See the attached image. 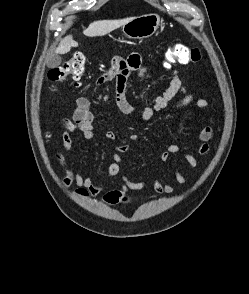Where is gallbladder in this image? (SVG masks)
<instances>
[{"instance_id":"bac80fb5","label":"gallbladder","mask_w":249,"mask_h":294,"mask_svg":"<svg viewBox=\"0 0 249 294\" xmlns=\"http://www.w3.org/2000/svg\"><path fill=\"white\" fill-rule=\"evenodd\" d=\"M62 62L61 56L53 54L47 62V66L51 69L58 67Z\"/></svg>"}]
</instances>
